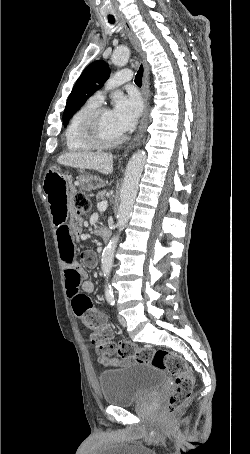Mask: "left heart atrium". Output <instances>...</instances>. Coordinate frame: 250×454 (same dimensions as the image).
Returning a JSON list of instances; mask_svg holds the SVG:
<instances>
[{"mask_svg": "<svg viewBox=\"0 0 250 454\" xmlns=\"http://www.w3.org/2000/svg\"><path fill=\"white\" fill-rule=\"evenodd\" d=\"M142 100L137 93L119 96L114 103L112 112L117 129L123 134L131 130L137 123L142 112Z\"/></svg>", "mask_w": 250, "mask_h": 454, "instance_id": "obj_1", "label": "left heart atrium"}]
</instances>
